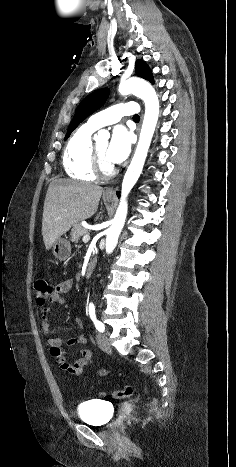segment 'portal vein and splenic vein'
<instances>
[{
	"label": "portal vein and splenic vein",
	"mask_w": 236,
	"mask_h": 467,
	"mask_svg": "<svg viewBox=\"0 0 236 467\" xmlns=\"http://www.w3.org/2000/svg\"><path fill=\"white\" fill-rule=\"evenodd\" d=\"M82 240H83V242L86 243V242H88L90 240V236L88 234L84 235Z\"/></svg>",
	"instance_id": "portal-vein-and-splenic-vein-1"
}]
</instances>
